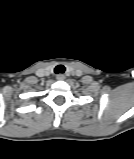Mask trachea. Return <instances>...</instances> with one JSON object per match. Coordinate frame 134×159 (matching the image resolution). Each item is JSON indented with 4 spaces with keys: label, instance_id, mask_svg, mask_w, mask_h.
<instances>
[{
    "label": "trachea",
    "instance_id": "trachea-1",
    "mask_svg": "<svg viewBox=\"0 0 134 159\" xmlns=\"http://www.w3.org/2000/svg\"><path fill=\"white\" fill-rule=\"evenodd\" d=\"M54 72H55L56 74H62V73H64V72H65V67H64V65H61V64L57 65V66L55 67V69H54Z\"/></svg>",
    "mask_w": 134,
    "mask_h": 159
}]
</instances>
